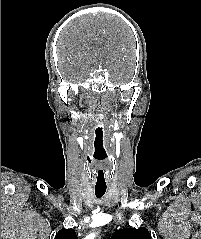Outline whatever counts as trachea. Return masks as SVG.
Returning a JSON list of instances; mask_svg holds the SVG:
<instances>
[{"label": "trachea", "mask_w": 201, "mask_h": 239, "mask_svg": "<svg viewBox=\"0 0 201 239\" xmlns=\"http://www.w3.org/2000/svg\"><path fill=\"white\" fill-rule=\"evenodd\" d=\"M106 186H95V194L98 198H101L106 192Z\"/></svg>", "instance_id": "1"}]
</instances>
